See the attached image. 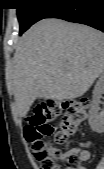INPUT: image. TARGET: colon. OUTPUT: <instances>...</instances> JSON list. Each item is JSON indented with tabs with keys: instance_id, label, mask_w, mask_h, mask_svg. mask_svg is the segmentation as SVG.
Listing matches in <instances>:
<instances>
[{
	"instance_id": "colon-1",
	"label": "colon",
	"mask_w": 104,
	"mask_h": 169,
	"mask_svg": "<svg viewBox=\"0 0 104 169\" xmlns=\"http://www.w3.org/2000/svg\"><path fill=\"white\" fill-rule=\"evenodd\" d=\"M90 102L76 98L60 105L38 106L24 127V137L31 145L40 169H81L82 159L77 152L61 153L59 146L66 144L84 123ZM63 117L60 128L53 122ZM54 136V143L45 142L44 136ZM61 157L62 163H58Z\"/></svg>"
}]
</instances>
